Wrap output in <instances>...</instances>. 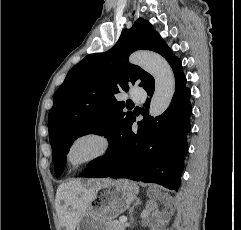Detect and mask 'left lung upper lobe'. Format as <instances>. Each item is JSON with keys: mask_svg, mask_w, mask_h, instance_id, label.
Returning a JSON list of instances; mask_svg holds the SVG:
<instances>
[{"mask_svg": "<svg viewBox=\"0 0 241 230\" xmlns=\"http://www.w3.org/2000/svg\"><path fill=\"white\" fill-rule=\"evenodd\" d=\"M151 50L168 62L174 57L153 26L143 18L132 28L122 31L109 51L86 56L67 74L54 94V105L48 115L49 139L55 172L60 176L66 165V154L80 136L104 135L111 142L134 117L123 112L124 102L115 94L128 91L129 83L140 82L145 88L153 77L128 62L136 50Z\"/></svg>", "mask_w": 241, "mask_h": 230, "instance_id": "obj_1", "label": "left lung upper lobe"}]
</instances>
